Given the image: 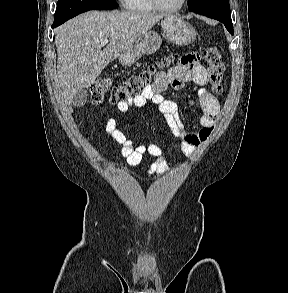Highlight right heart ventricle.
Returning a JSON list of instances; mask_svg holds the SVG:
<instances>
[{"instance_id":"1","label":"right heart ventricle","mask_w":288,"mask_h":293,"mask_svg":"<svg viewBox=\"0 0 288 293\" xmlns=\"http://www.w3.org/2000/svg\"><path fill=\"white\" fill-rule=\"evenodd\" d=\"M126 9L137 12H150L155 8L150 0H123Z\"/></svg>"}]
</instances>
